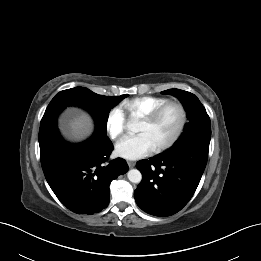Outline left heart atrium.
Masks as SVG:
<instances>
[{
    "label": "left heart atrium",
    "instance_id": "left-heart-atrium-1",
    "mask_svg": "<svg viewBox=\"0 0 261 261\" xmlns=\"http://www.w3.org/2000/svg\"><path fill=\"white\" fill-rule=\"evenodd\" d=\"M153 150L147 137L142 133L123 136L115 146L116 154L129 160L148 155Z\"/></svg>",
    "mask_w": 261,
    "mask_h": 261
}]
</instances>
